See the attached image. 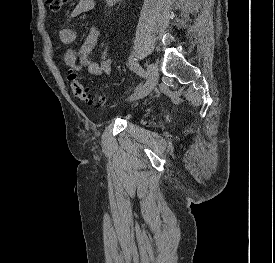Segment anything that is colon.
<instances>
[{
	"mask_svg": "<svg viewBox=\"0 0 275 263\" xmlns=\"http://www.w3.org/2000/svg\"><path fill=\"white\" fill-rule=\"evenodd\" d=\"M66 1L67 0H46L49 9L53 12H61ZM68 81L72 93L82 102L86 104H102L105 102V98H97L85 87L76 71L69 70Z\"/></svg>",
	"mask_w": 275,
	"mask_h": 263,
	"instance_id": "1",
	"label": "colon"
}]
</instances>
